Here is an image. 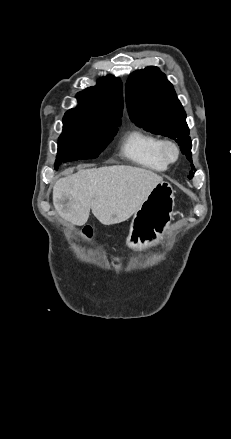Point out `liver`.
<instances>
[{
	"mask_svg": "<svg viewBox=\"0 0 231 439\" xmlns=\"http://www.w3.org/2000/svg\"><path fill=\"white\" fill-rule=\"evenodd\" d=\"M162 181L150 170L126 165L79 170L55 183L53 205L73 225H84L90 210L103 225L118 224L135 214Z\"/></svg>",
	"mask_w": 231,
	"mask_h": 439,
	"instance_id": "6515ba94",
	"label": "liver"
}]
</instances>
